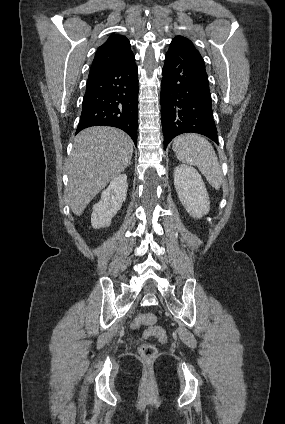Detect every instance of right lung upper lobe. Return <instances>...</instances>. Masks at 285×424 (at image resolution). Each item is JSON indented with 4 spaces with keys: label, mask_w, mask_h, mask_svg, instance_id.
<instances>
[{
    "label": "right lung upper lobe",
    "mask_w": 285,
    "mask_h": 424,
    "mask_svg": "<svg viewBox=\"0 0 285 424\" xmlns=\"http://www.w3.org/2000/svg\"><path fill=\"white\" fill-rule=\"evenodd\" d=\"M134 59L129 40L122 35H111L95 54L89 75L113 69Z\"/></svg>",
    "instance_id": "right-lung-upper-lobe-1"
}]
</instances>
